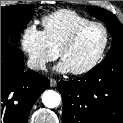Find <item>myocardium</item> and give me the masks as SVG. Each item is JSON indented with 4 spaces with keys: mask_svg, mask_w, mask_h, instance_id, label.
Masks as SVG:
<instances>
[{
    "mask_svg": "<svg viewBox=\"0 0 123 123\" xmlns=\"http://www.w3.org/2000/svg\"><path fill=\"white\" fill-rule=\"evenodd\" d=\"M91 27H99L102 29V31L104 33L103 45H102L99 53L97 54V56L93 59V61L90 64H88L87 66H85L81 69H78V70H71V73L74 75L86 74V73L92 71L101 62V60L103 59V57L107 51L109 41H110V34H109L107 27L103 23L96 22V21H91L89 23H86V24L78 27L68 37V39L61 45V47L58 50V56L60 57V59H62L63 54L76 43V41L81 36V34Z\"/></svg>",
    "mask_w": 123,
    "mask_h": 123,
    "instance_id": "f54148a6",
    "label": "myocardium"
}]
</instances>
